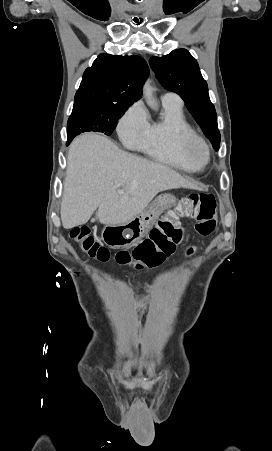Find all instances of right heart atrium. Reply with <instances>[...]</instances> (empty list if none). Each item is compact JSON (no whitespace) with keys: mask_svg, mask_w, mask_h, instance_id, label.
<instances>
[{"mask_svg":"<svg viewBox=\"0 0 272 451\" xmlns=\"http://www.w3.org/2000/svg\"><path fill=\"white\" fill-rule=\"evenodd\" d=\"M148 125V117L143 105L135 103L120 120L118 133L124 142L136 145L144 138Z\"/></svg>","mask_w":272,"mask_h":451,"instance_id":"right-heart-atrium-1","label":"right heart atrium"}]
</instances>
